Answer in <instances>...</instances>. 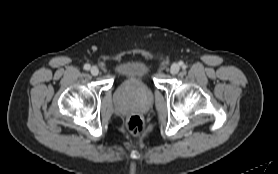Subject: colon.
<instances>
[{
  "instance_id": "obj_1",
  "label": "colon",
  "mask_w": 278,
  "mask_h": 174,
  "mask_svg": "<svg viewBox=\"0 0 278 174\" xmlns=\"http://www.w3.org/2000/svg\"><path fill=\"white\" fill-rule=\"evenodd\" d=\"M126 125L132 133H140L144 128V120L140 115L134 114L127 118Z\"/></svg>"
}]
</instances>
